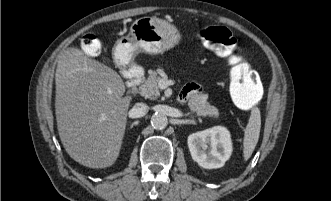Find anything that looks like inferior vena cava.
Segmentation results:
<instances>
[{
  "label": "inferior vena cava",
  "instance_id": "1",
  "mask_svg": "<svg viewBox=\"0 0 331 201\" xmlns=\"http://www.w3.org/2000/svg\"><path fill=\"white\" fill-rule=\"evenodd\" d=\"M149 107L143 102L136 103L130 110V115L133 118H140L147 114Z\"/></svg>",
  "mask_w": 331,
  "mask_h": 201
}]
</instances>
